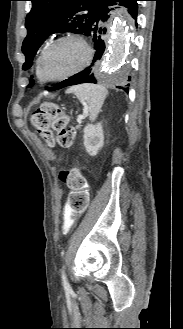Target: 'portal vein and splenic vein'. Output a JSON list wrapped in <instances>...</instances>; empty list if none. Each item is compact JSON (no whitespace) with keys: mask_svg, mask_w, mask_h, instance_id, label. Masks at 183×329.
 <instances>
[{"mask_svg":"<svg viewBox=\"0 0 183 329\" xmlns=\"http://www.w3.org/2000/svg\"><path fill=\"white\" fill-rule=\"evenodd\" d=\"M86 117V115H78L77 116V120L81 121L82 119H84Z\"/></svg>","mask_w":183,"mask_h":329,"instance_id":"obj_1","label":"portal vein and splenic vein"}]
</instances>
